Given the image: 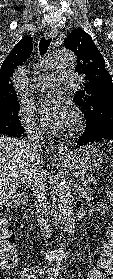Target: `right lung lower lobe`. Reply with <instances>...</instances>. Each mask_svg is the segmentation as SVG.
Wrapping results in <instances>:
<instances>
[{"label": "right lung lower lobe", "mask_w": 113, "mask_h": 279, "mask_svg": "<svg viewBox=\"0 0 113 279\" xmlns=\"http://www.w3.org/2000/svg\"><path fill=\"white\" fill-rule=\"evenodd\" d=\"M23 132H24V129L23 128H19V129L8 131V132H6L4 134H6L8 136H11V137H19Z\"/></svg>", "instance_id": "right-lung-lower-lobe-1"}]
</instances>
